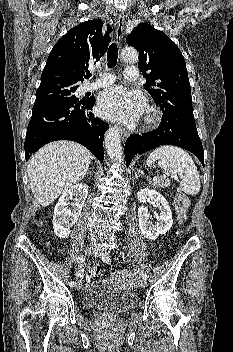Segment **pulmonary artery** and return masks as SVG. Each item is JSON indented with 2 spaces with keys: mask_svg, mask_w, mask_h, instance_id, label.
Masks as SVG:
<instances>
[{
  "mask_svg": "<svg viewBox=\"0 0 233 352\" xmlns=\"http://www.w3.org/2000/svg\"><path fill=\"white\" fill-rule=\"evenodd\" d=\"M138 77V69L135 66H129L125 70V78L134 81ZM114 81V76L108 75V74H101V77L94 81V82H89L83 85V90L84 91H92L95 89H98L100 87L107 86Z\"/></svg>",
  "mask_w": 233,
  "mask_h": 352,
  "instance_id": "pulmonary-artery-1",
  "label": "pulmonary artery"
}]
</instances>
